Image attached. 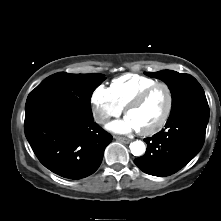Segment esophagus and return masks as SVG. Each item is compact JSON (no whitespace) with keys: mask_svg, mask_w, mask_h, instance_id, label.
Listing matches in <instances>:
<instances>
[{"mask_svg":"<svg viewBox=\"0 0 221 221\" xmlns=\"http://www.w3.org/2000/svg\"><path fill=\"white\" fill-rule=\"evenodd\" d=\"M114 138H115L117 141H119V142H121V143H124V144L130 143V140L127 139V138H125V137L114 136Z\"/></svg>","mask_w":221,"mask_h":221,"instance_id":"obj_1","label":"esophagus"}]
</instances>
